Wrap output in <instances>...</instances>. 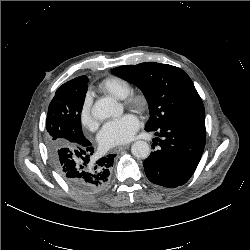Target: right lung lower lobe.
Returning <instances> with one entry per match:
<instances>
[{
	"instance_id": "obj_1",
	"label": "right lung lower lobe",
	"mask_w": 250,
	"mask_h": 250,
	"mask_svg": "<svg viewBox=\"0 0 250 250\" xmlns=\"http://www.w3.org/2000/svg\"><path fill=\"white\" fill-rule=\"evenodd\" d=\"M94 149L85 139L82 143L62 147L50 153L51 160L65 182L80 196L88 198L102 192L108 185L115 155L94 161Z\"/></svg>"
}]
</instances>
